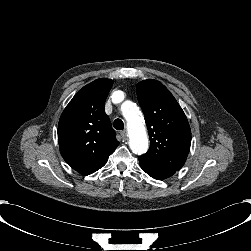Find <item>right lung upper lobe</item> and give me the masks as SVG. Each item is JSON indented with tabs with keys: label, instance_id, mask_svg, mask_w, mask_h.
<instances>
[{
	"label": "right lung upper lobe",
	"instance_id": "1",
	"mask_svg": "<svg viewBox=\"0 0 251 251\" xmlns=\"http://www.w3.org/2000/svg\"><path fill=\"white\" fill-rule=\"evenodd\" d=\"M111 79H97L80 89L58 124L62 157L77 172L89 175L103 167L119 145L104 111Z\"/></svg>",
	"mask_w": 251,
	"mask_h": 251
}]
</instances>
